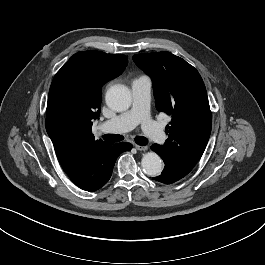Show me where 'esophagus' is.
<instances>
[{"instance_id":"1","label":"esophagus","mask_w":265,"mask_h":265,"mask_svg":"<svg viewBox=\"0 0 265 265\" xmlns=\"http://www.w3.org/2000/svg\"><path fill=\"white\" fill-rule=\"evenodd\" d=\"M135 148L138 150V151H146L148 149L147 146H141V145H135Z\"/></svg>"}]
</instances>
